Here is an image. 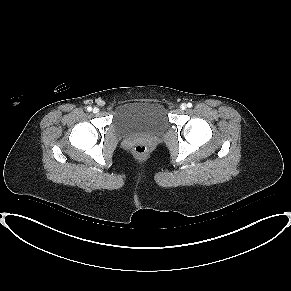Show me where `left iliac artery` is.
I'll use <instances>...</instances> for the list:
<instances>
[{
    "label": "left iliac artery",
    "mask_w": 291,
    "mask_h": 291,
    "mask_svg": "<svg viewBox=\"0 0 291 291\" xmlns=\"http://www.w3.org/2000/svg\"><path fill=\"white\" fill-rule=\"evenodd\" d=\"M187 107H188V108H191V107H192V103L189 102V103L187 104Z\"/></svg>",
    "instance_id": "left-iliac-artery-1"
}]
</instances>
